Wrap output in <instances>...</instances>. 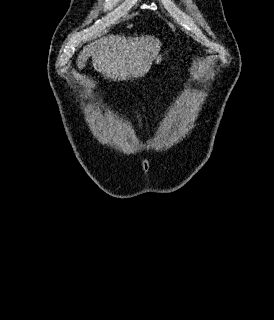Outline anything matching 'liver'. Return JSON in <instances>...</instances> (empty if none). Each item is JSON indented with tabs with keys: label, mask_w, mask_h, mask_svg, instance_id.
<instances>
[{
	"label": "liver",
	"mask_w": 274,
	"mask_h": 320,
	"mask_svg": "<svg viewBox=\"0 0 274 320\" xmlns=\"http://www.w3.org/2000/svg\"><path fill=\"white\" fill-rule=\"evenodd\" d=\"M161 42L154 36L125 38L108 34L84 46L77 58V68L82 70L89 58L96 72L103 74L104 80H132L144 78L155 60Z\"/></svg>",
	"instance_id": "1"
}]
</instances>
